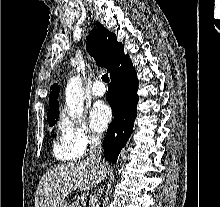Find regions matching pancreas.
<instances>
[{
	"label": "pancreas",
	"instance_id": "cf45deb5",
	"mask_svg": "<svg viewBox=\"0 0 220 207\" xmlns=\"http://www.w3.org/2000/svg\"><path fill=\"white\" fill-rule=\"evenodd\" d=\"M67 207H81V206L79 205V202L77 201V202H73L71 205Z\"/></svg>",
	"mask_w": 220,
	"mask_h": 207
}]
</instances>
